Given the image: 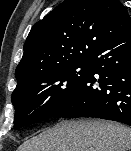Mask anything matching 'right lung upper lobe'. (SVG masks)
Masks as SVG:
<instances>
[{"instance_id": "1", "label": "right lung upper lobe", "mask_w": 131, "mask_h": 151, "mask_svg": "<svg viewBox=\"0 0 131 151\" xmlns=\"http://www.w3.org/2000/svg\"><path fill=\"white\" fill-rule=\"evenodd\" d=\"M129 34L131 17L119 0H65L32 27L16 88L44 73L89 63L102 45Z\"/></svg>"}]
</instances>
